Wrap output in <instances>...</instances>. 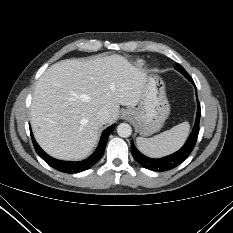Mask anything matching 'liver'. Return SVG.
I'll use <instances>...</instances> for the list:
<instances>
[{
  "label": "liver",
  "mask_w": 233,
  "mask_h": 233,
  "mask_svg": "<svg viewBox=\"0 0 233 233\" xmlns=\"http://www.w3.org/2000/svg\"><path fill=\"white\" fill-rule=\"evenodd\" d=\"M146 73L120 55L90 60L66 59L50 66L38 80L31 104V126L36 141L54 158H86L103 125L119 115V105L140 102Z\"/></svg>",
  "instance_id": "1"
}]
</instances>
